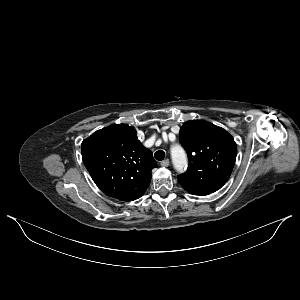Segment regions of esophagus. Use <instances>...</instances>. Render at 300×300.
Segmentation results:
<instances>
[{
    "label": "esophagus",
    "instance_id": "obj_1",
    "mask_svg": "<svg viewBox=\"0 0 300 300\" xmlns=\"http://www.w3.org/2000/svg\"><path fill=\"white\" fill-rule=\"evenodd\" d=\"M169 159H164L163 161L160 162V165L162 167H168L169 166Z\"/></svg>",
    "mask_w": 300,
    "mask_h": 300
}]
</instances>
